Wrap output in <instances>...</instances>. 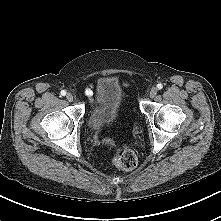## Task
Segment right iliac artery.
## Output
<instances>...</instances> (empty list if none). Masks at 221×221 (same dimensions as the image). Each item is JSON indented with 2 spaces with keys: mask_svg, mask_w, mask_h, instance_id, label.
I'll return each mask as SVG.
<instances>
[{
  "mask_svg": "<svg viewBox=\"0 0 221 221\" xmlns=\"http://www.w3.org/2000/svg\"><path fill=\"white\" fill-rule=\"evenodd\" d=\"M61 95H62V96H65V95H66V91H65V90H62V91H61Z\"/></svg>",
  "mask_w": 221,
  "mask_h": 221,
  "instance_id": "82829eb1",
  "label": "right iliac artery"
}]
</instances>
